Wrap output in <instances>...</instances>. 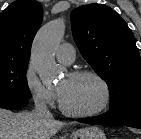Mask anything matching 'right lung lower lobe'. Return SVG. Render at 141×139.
Returning a JSON list of instances; mask_svg holds the SVG:
<instances>
[{"mask_svg": "<svg viewBox=\"0 0 141 139\" xmlns=\"http://www.w3.org/2000/svg\"><path fill=\"white\" fill-rule=\"evenodd\" d=\"M28 102H29V99L0 100V108L16 110L26 106Z\"/></svg>", "mask_w": 141, "mask_h": 139, "instance_id": "obj_1", "label": "right lung lower lobe"}]
</instances>
